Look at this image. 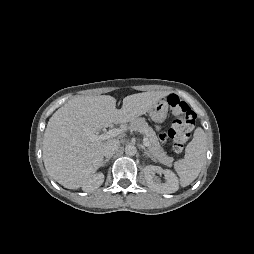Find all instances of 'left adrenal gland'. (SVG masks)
Segmentation results:
<instances>
[{
	"instance_id": "obj_1",
	"label": "left adrenal gland",
	"mask_w": 254,
	"mask_h": 254,
	"mask_svg": "<svg viewBox=\"0 0 254 254\" xmlns=\"http://www.w3.org/2000/svg\"><path fill=\"white\" fill-rule=\"evenodd\" d=\"M143 149H144V155L147 156V157H149V158H151V160L155 161V160L153 159V157L150 155V153L146 150V148H143Z\"/></svg>"
}]
</instances>
